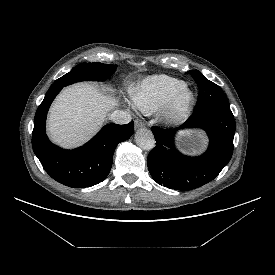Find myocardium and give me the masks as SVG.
Instances as JSON below:
<instances>
[{
	"instance_id": "f54148a6",
	"label": "myocardium",
	"mask_w": 275,
	"mask_h": 275,
	"mask_svg": "<svg viewBox=\"0 0 275 275\" xmlns=\"http://www.w3.org/2000/svg\"><path fill=\"white\" fill-rule=\"evenodd\" d=\"M195 95L191 88L184 85L175 91L159 109V121L168 127L184 123L192 114Z\"/></svg>"
}]
</instances>
